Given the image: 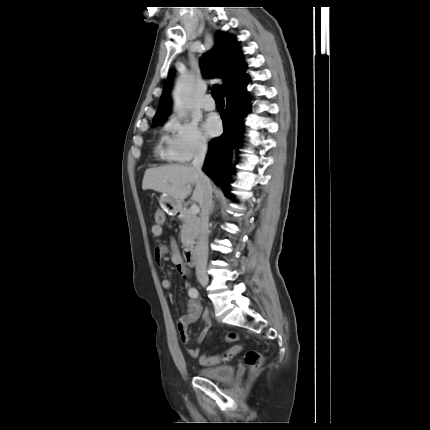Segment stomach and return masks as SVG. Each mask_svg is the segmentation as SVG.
I'll return each mask as SVG.
<instances>
[{"label": "stomach", "mask_w": 430, "mask_h": 430, "mask_svg": "<svg viewBox=\"0 0 430 430\" xmlns=\"http://www.w3.org/2000/svg\"><path fill=\"white\" fill-rule=\"evenodd\" d=\"M161 206L164 210L168 211V212H174L177 210V205L176 202L173 198L167 196V195H162L161 196Z\"/></svg>", "instance_id": "1"}]
</instances>
